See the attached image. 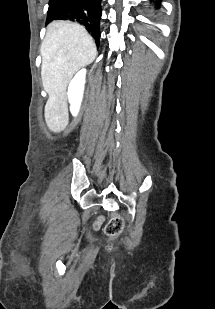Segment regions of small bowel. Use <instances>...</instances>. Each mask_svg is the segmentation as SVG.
Listing matches in <instances>:
<instances>
[{"instance_id": "obj_1", "label": "small bowel", "mask_w": 215, "mask_h": 309, "mask_svg": "<svg viewBox=\"0 0 215 309\" xmlns=\"http://www.w3.org/2000/svg\"><path fill=\"white\" fill-rule=\"evenodd\" d=\"M102 220V218H99V221H101Z\"/></svg>"}]
</instances>
